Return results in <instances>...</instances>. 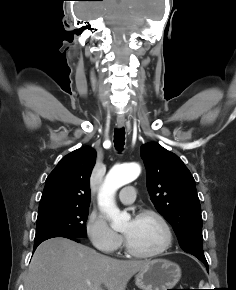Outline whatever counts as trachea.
<instances>
[{"label": "trachea", "instance_id": "1", "mask_svg": "<svg viewBox=\"0 0 236 290\" xmlns=\"http://www.w3.org/2000/svg\"><path fill=\"white\" fill-rule=\"evenodd\" d=\"M125 129H116L114 133V146L117 151L121 152L124 147Z\"/></svg>", "mask_w": 236, "mask_h": 290}]
</instances>
